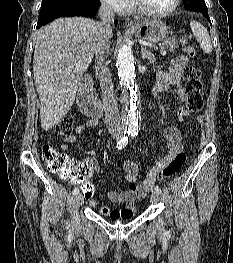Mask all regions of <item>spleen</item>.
<instances>
[{
  "instance_id": "obj_1",
  "label": "spleen",
  "mask_w": 233,
  "mask_h": 263,
  "mask_svg": "<svg viewBox=\"0 0 233 263\" xmlns=\"http://www.w3.org/2000/svg\"><path fill=\"white\" fill-rule=\"evenodd\" d=\"M190 27L195 35L197 41L200 44L201 49L204 53L209 54L212 52V44L207 29L197 21H191Z\"/></svg>"
}]
</instances>
